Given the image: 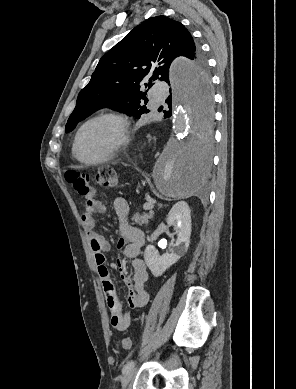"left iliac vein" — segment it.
<instances>
[{"label": "left iliac vein", "instance_id": "left-iliac-vein-1", "mask_svg": "<svg viewBox=\"0 0 296 389\" xmlns=\"http://www.w3.org/2000/svg\"><path fill=\"white\" fill-rule=\"evenodd\" d=\"M135 375V369L132 367L122 377L121 384L123 388H126L128 384L132 381L133 377Z\"/></svg>", "mask_w": 296, "mask_h": 389}]
</instances>
